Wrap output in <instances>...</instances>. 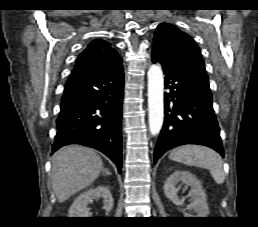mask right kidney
<instances>
[{
    "label": "right kidney",
    "instance_id": "ca27d5eb",
    "mask_svg": "<svg viewBox=\"0 0 258 227\" xmlns=\"http://www.w3.org/2000/svg\"><path fill=\"white\" fill-rule=\"evenodd\" d=\"M99 198L103 199L105 211L110 212L113 208V198L110 190L106 186H99L81 193L71 205L68 217H88V204Z\"/></svg>",
    "mask_w": 258,
    "mask_h": 227
}]
</instances>
